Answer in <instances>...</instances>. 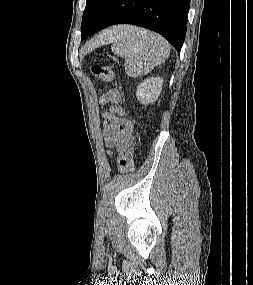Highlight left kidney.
<instances>
[{"label":"left kidney","instance_id":"left-kidney-1","mask_svg":"<svg viewBox=\"0 0 253 285\" xmlns=\"http://www.w3.org/2000/svg\"><path fill=\"white\" fill-rule=\"evenodd\" d=\"M163 81L164 80L161 77H151L145 79L137 87V100L144 105L155 102L162 91Z\"/></svg>","mask_w":253,"mask_h":285}]
</instances>
